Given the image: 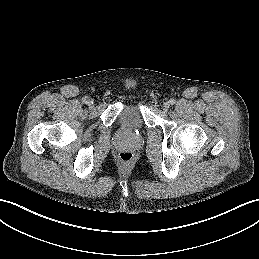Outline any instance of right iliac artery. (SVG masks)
<instances>
[{
    "label": "right iliac artery",
    "mask_w": 259,
    "mask_h": 259,
    "mask_svg": "<svg viewBox=\"0 0 259 259\" xmlns=\"http://www.w3.org/2000/svg\"><path fill=\"white\" fill-rule=\"evenodd\" d=\"M82 102L85 103V104H87V102H88V97H83V98H82Z\"/></svg>",
    "instance_id": "82829eb1"
}]
</instances>
